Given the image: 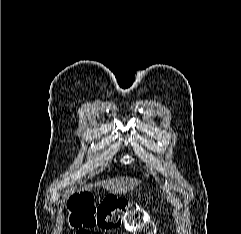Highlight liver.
Returning <instances> with one entry per match:
<instances>
[{
	"instance_id": "1",
	"label": "liver",
	"mask_w": 241,
	"mask_h": 234,
	"mask_svg": "<svg viewBox=\"0 0 241 234\" xmlns=\"http://www.w3.org/2000/svg\"><path fill=\"white\" fill-rule=\"evenodd\" d=\"M141 183L140 180L134 178H112L108 180H103L97 182L96 186H102L107 191L113 194H121L127 193L128 191L132 190L134 187L138 186ZM91 188L92 185H89Z\"/></svg>"
}]
</instances>
